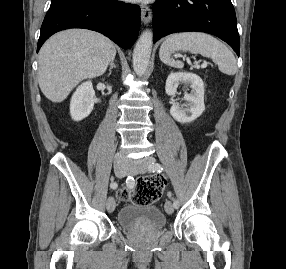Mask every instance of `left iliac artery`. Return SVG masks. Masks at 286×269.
I'll list each match as a JSON object with an SVG mask.
<instances>
[{
    "label": "left iliac artery",
    "mask_w": 286,
    "mask_h": 269,
    "mask_svg": "<svg viewBox=\"0 0 286 269\" xmlns=\"http://www.w3.org/2000/svg\"><path fill=\"white\" fill-rule=\"evenodd\" d=\"M148 169L149 171H153V172H161L163 170V167L158 163H153L152 165L148 167ZM173 205L175 208H179L178 200L173 199Z\"/></svg>",
    "instance_id": "obj_1"
}]
</instances>
